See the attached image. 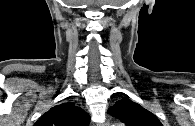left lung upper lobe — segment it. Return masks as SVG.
I'll use <instances>...</instances> for the list:
<instances>
[{
    "label": "left lung upper lobe",
    "mask_w": 195,
    "mask_h": 126,
    "mask_svg": "<svg viewBox=\"0 0 195 126\" xmlns=\"http://www.w3.org/2000/svg\"><path fill=\"white\" fill-rule=\"evenodd\" d=\"M108 113L126 126H163L153 113L128 98L117 101Z\"/></svg>",
    "instance_id": "left-lung-upper-lobe-1"
}]
</instances>
